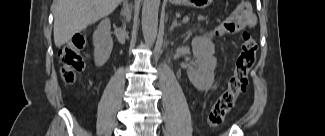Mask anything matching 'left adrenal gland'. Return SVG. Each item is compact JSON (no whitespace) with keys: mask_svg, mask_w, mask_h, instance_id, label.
I'll list each match as a JSON object with an SVG mask.
<instances>
[{"mask_svg":"<svg viewBox=\"0 0 325 136\" xmlns=\"http://www.w3.org/2000/svg\"><path fill=\"white\" fill-rule=\"evenodd\" d=\"M177 26H180V23L177 22V19L175 18L172 22V25H171V28H170V31L172 32L173 29Z\"/></svg>","mask_w":325,"mask_h":136,"instance_id":"a2214340","label":"left adrenal gland"}]
</instances>
